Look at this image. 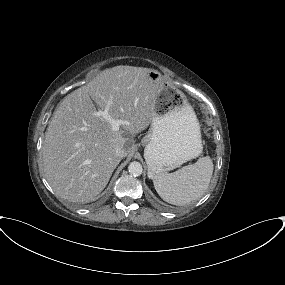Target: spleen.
Wrapping results in <instances>:
<instances>
[{"label": "spleen", "mask_w": 285, "mask_h": 285, "mask_svg": "<svg viewBox=\"0 0 285 285\" xmlns=\"http://www.w3.org/2000/svg\"><path fill=\"white\" fill-rule=\"evenodd\" d=\"M212 174L213 162L210 157L206 156L173 173L154 176L153 183L157 193L164 201L182 206L203 196L209 186Z\"/></svg>", "instance_id": "3e777b00"}]
</instances>
